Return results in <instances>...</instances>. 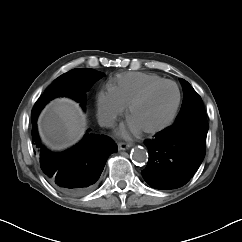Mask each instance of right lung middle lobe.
I'll list each match as a JSON object with an SVG mask.
<instances>
[{
    "label": "right lung middle lobe",
    "instance_id": "obj_1",
    "mask_svg": "<svg viewBox=\"0 0 242 242\" xmlns=\"http://www.w3.org/2000/svg\"><path fill=\"white\" fill-rule=\"evenodd\" d=\"M103 73L89 68L73 69L55 79L47 87L34 105L31 117H37L41 109L52 99L58 96H68L80 102L85 108V92L101 77Z\"/></svg>",
    "mask_w": 242,
    "mask_h": 242
}]
</instances>
